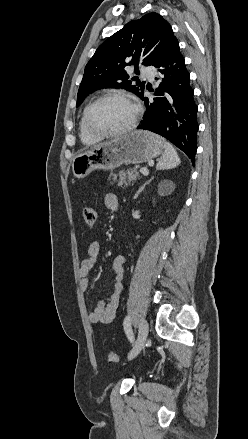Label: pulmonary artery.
Returning a JSON list of instances; mask_svg holds the SVG:
<instances>
[{
    "label": "pulmonary artery",
    "mask_w": 248,
    "mask_h": 439,
    "mask_svg": "<svg viewBox=\"0 0 248 439\" xmlns=\"http://www.w3.org/2000/svg\"><path fill=\"white\" fill-rule=\"evenodd\" d=\"M141 75L143 77L149 78V79H153L154 78V73L152 71H150L149 69H147L146 67H142L141 68Z\"/></svg>",
    "instance_id": "pulmonary-artery-1"
}]
</instances>
